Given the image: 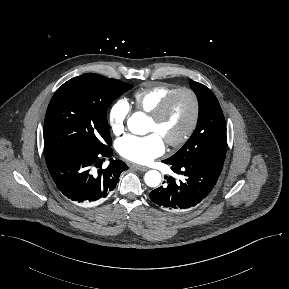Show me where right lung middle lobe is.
Instances as JSON below:
<instances>
[{
    "label": "right lung middle lobe",
    "mask_w": 289,
    "mask_h": 289,
    "mask_svg": "<svg viewBox=\"0 0 289 289\" xmlns=\"http://www.w3.org/2000/svg\"><path fill=\"white\" fill-rule=\"evenodd\" d=\"M133 85L98 74L70 79L55 92L45 116L44 151L79 146L102 150L111 144L106 111Z\"/></svg>",
    "instance_id": "right-lung-middle-lobe-1"
}]
</instances>
